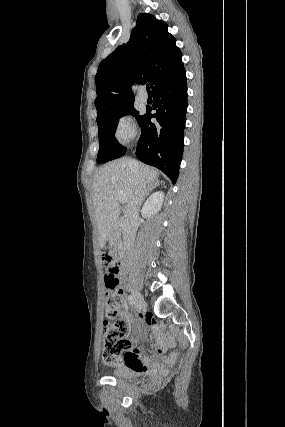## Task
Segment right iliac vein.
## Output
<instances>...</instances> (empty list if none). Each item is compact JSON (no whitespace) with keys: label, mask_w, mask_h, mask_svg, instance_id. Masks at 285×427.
<instances>
[{"label":"right iliac vein","mask_w":285,"mask_h":427,"mask_svg":"<svg viewBox=\"0 0 285 427\" xmlns=\"http://www.w3.org/2000/svg\"><path fill=\"white\" fill-rule=\"evenodd\" d=\"M132 293H133V297L135 299L137 311L140 312V311L144 310L146 308V303H145L144 298L141 295V293L135 289H132Z\"/></svg>","instance_id":"63e3f726"}]
</instances>
